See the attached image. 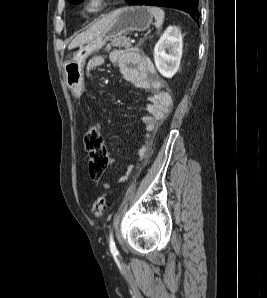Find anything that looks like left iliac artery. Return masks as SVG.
I'll use <instances>...</instances> for the list:
<instances>
[{"label": "left iliac artery", "instance_id": "obj_1", "mask_svg": "<svg viewBox=\"0 0 267 298\" xmlns=\"http://www.w3.org/2000/svg\"><path fill=\"white\" fill-rule=\"evenodd\" d=\"M109 247H110V251L113 255L118 254V250H117L115 242H114L113 232L112 231H110V234H109Z\"/></svg>", "mask_w": 267, "mask_h": 298}]
</instances>
